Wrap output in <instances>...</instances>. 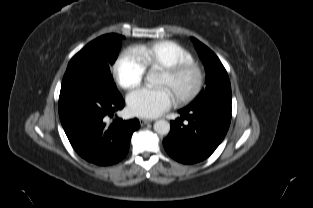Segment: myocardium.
I'll use <instances>...</instances> for the list:
<instances>
[{"instance_id": "1", "label": "myocardium", "mask_w": 313, "mask_h": 208, "mask_svg": "<svg viewBox=\"0 0 313 208\" xmlns=\"http://www.w3.org/2000/svg\"><path fill=\"white\" fill-rule=\"evenodd\" d=\"M161 71L169 78L172 84L176 83L180 78L186 75L193 76L192 84L187 89L178 90L173 88L175 99L180 104H185L194 100L203 88L205 80L204 71L202 67L194 61L182 62L163 68Z\"/></svg>"}]
</instances>
